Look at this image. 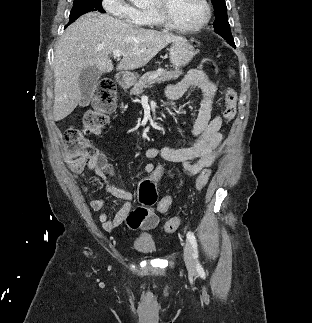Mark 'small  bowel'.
Here are the masks:
<instances>
[{
  "label": "small bowel",
  "mask_w": 312,
  "mask_h": 323,
  "mask_svg": "<svg viewBox=\"0 0 312 323\" xmlns=\"http://www.w3.org/2000/svg\"><path fill=\"white\" fill-rule=\"evenodd\" d=\"M192 88L201 90L203 94L199 114L192 128V136L196 141L189 147L148 148L145 151L147 163L144 165V171L150 176L151 168L157 167L155 160L158 157L167 158L168 162L180 163L185 173L197 175L203 169L211 166L218 156L223 142V135L220 133L222 118L220 115L211 116L212 102L217 88L209 80L206 73L201 69H191L183 79L167 88L166 98L171 102L177 101L186 91ZM88 168L103 180L107 176H114L115 174L114 167L108 163L105 154L102 152H97L89 160ZM84 191L86 192L87 189L84 188ZM106 193L123 200V204L110 218L108 213L103 211L104 198L90 200V208L96 212L100 211L98 220L105 231L111 232L123 223L130 230H149L159 223V216L152 214L151 211L143 216L140 210H133V194L131 192L107 184Z\"/></svg>",
  "instance_id": "small-bowel-1"
}]
</instances>
